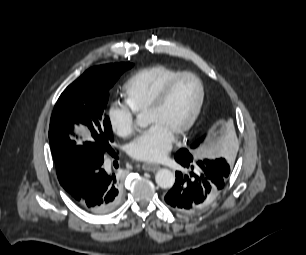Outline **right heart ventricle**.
<instances>
[{
	"instance_id": "right-heart-ventricle-1",
	"label": "right heart ventricle",
	"mask_w": 306,
	"mask_h": 255,
	"mask_svg": "<svg viewBox=\"0 0 306 255\" xmlns=\"http://www.w3.org/2000/svg\"><path fill=\"white\" fill-rule=\"evenodd\" d=\"M180 72L165 65H154L138 70L124 84L126 104L136 113L145 112L163 86Z\"/></svg>"
}]
</instances>
